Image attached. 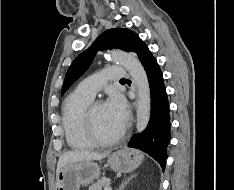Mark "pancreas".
<instances>
[{"label":"pancreas","instance_id":"obj_1","mask_svg":"<svg viewBox=\"0 0 234 190\" xmlns=\"http://www.w3.org/2000/svg\"><path fill=\"white\" fill-rule=\"evenodd\" d=\"M110 179H98L95 183L89 186V190H102L103 187L109 186Z\"/></svg>","mask_w":234,"mask_h":190}]
</instances>
